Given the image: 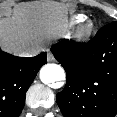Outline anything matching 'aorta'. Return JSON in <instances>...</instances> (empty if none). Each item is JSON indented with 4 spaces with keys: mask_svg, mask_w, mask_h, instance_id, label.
<instances>
[{
    "mask_svg": "<svg viewBox=\"0 0 117 117\" xmlns=\"http://www.w3.org/2000/svg\"><path fill=\"white\" fill-rule=\"evenodd\" d=\"M65 71L58 64H46L40 70V80L44 84H53L65 80Z\"/></svg>",
    "mask_w": 117,
    "mask_h": 117,
    "instance_id": "obj_1",
    "label": "aorta"
}]
</instances>
